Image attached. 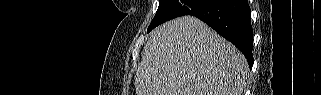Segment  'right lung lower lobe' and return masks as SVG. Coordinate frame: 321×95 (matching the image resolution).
Segmentation results:
<instances>
[{"label": "right lung lower lobe", "instance_id": "98d812e1", "mask_svg": "<svg viewBox=\"0 0 321 95\" xmlns=\"http://www.w3.org/2000/svg\"><path fill=\"white\" fill-rule=\"evenodd\" d=\"M189 15L201 19L232 42L244 54L250 68L253 66V30L247 0H210Z\"/></svg>", "mask_w": 321, "mask_h": 95}]
</instances>
